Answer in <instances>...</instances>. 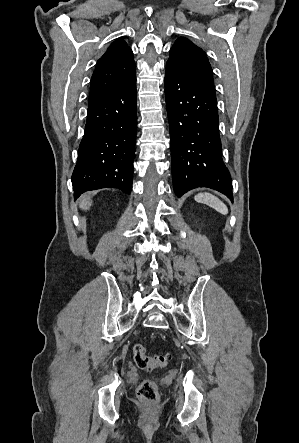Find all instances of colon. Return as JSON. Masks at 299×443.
Returning a JSON list of instances; mask_svg holds the SVG:
<instances>
[{"label": "colon", "instance_id": "obj_1", "mask_svg": "<svg viewBox=\"0 0 299 443\" xmlns=\"http://www.w3.org/2000/svg\"><path fill=\"white\" fill-rule=\"evenodd\" d=\"M133 353L136 365L140 369L147 371L165 367L172 358L169 353L150 356L146 353V349L142 344H136L133 348ZM137 395L140 400L149 404H156L158 401L156 385L148 379L140 383L137 388Z\"/></svg>", "mask_w": 299, "mask_h": 443}]
</instances>
